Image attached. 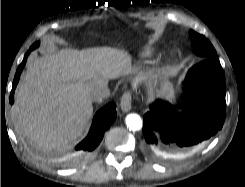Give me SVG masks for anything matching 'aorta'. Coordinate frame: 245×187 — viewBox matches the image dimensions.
I'll list each match as a JSON object with an SVG mask.
<instances>
[{
  "label": "aorta",
  "mask_w": 245,
  "mask_h": 187,
  "mask_svg": "<svg viewBox=\"0 0 245 187\" xmlns=\"http://www.w3.org/2000/svg\"><path fill=\"white\" fill-rule=\"evenodd\" d=\"M126 125L132 131H138L142 128L143 122L138 114H129L126 117Z\"/></svg>",
  "instance_id": "aorta-1"
}]
</instances>
